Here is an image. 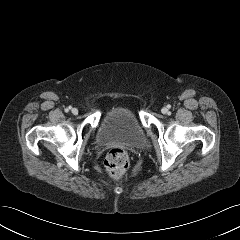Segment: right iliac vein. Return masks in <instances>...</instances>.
<instances>
[{
	"label": "right iliac vein",
	"mask_w": 240,
	"mask_h": 240,
	"mask_svg": "<svg viewBox=\"0 0 240 240\" xmlns=\"http://www.w3.org/2000/svg\"><path fill=\"white\" fill-rule=\"evenodd\" d=\"M71 112H72V114L77 115L78 114V109L77 108H72Z\"/></svg>",
	"instance_id": "right-iliac-vein-1"
}]
</instances>
